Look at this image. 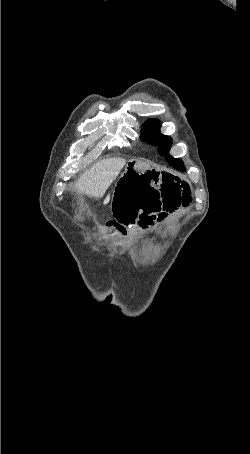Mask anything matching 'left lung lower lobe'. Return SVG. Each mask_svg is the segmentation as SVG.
I'll use <instances>...</instances> for the list:
<instances>
[{"label": "left lung lower lobe", "instance_id": "0a47b994", "mask_svg": "<svg viewBox=\"0 0 250 454\" xmlns=\"http://www.w3.org/2000/svg\"><path fill=\"white\" fill-rule=\"evenodd\" d=\"M174 168L180 170V171H185L183 162L179 159H175L172 161H168Z\"/></svg>", "mask_w": 250, "mask_h": 454}]
</instances>
